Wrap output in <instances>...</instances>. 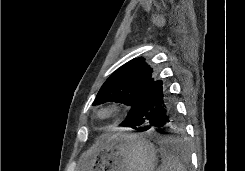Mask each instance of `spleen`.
Instances as JSON below:
<instances>
[{
    "label": "spleen",
    "instance_id": "3e777b00",
    "mask_svg": "<svg viewBox=\"0 0 245 171\" xmlns=\"http://www.w3.org/2000/svg\"><path fill=\"white\" fill-rule=\"evenodd\" d=\"M162 164L157 171H187L182 163L165 149L161 150Z\"/></svg>",
    "mask_w": 245,
    "mask_h": 171
}]
</instances>
